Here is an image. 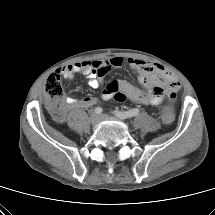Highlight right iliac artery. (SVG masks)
Returning <instances> with one entry per match:
<instances>
[{"instance_id": "right-iliac-artery-1", "label": "right iliac artery", "mask_w": 215, "mask_h": 215, "mask_svg": "<svg viewBox=\"0 0 215 215\" xmlns=\"http://www.w3.org/2000/svg\"><path fill=\"white\" fill-rule=\"evenodd\" d=\"M102 112H103V109H102L101 107H96V108H95V113H96V114L99 115V114H102Z\"/></svg>"}]
</instances>
